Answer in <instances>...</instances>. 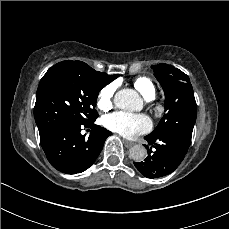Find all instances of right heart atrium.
Instances as JSON below:
<instances>
[{
	"label": "right heart atrium",
	"instance_id": "obj_1",
	"mask_svg": "<svg viewBox=\"0 0 229 229\" xmlns=\"http://www.w3.org/2000/svg\"><path fill=\"white\" fill-rule=\"evenodd\" d=\"M115 95V85L108 84L104 86L97 94L96 105L102 110H108L112 107L113 98Z\"/></svg>",
	"mask_w": 229,
	"mask_h": 229
}]
</instances>
